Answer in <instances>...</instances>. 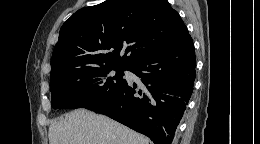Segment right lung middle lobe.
Here are the masks:
<instances>
[{
  "mask_svg": "<svg viewBox=\"0 0 260 144\" xmlns=\"http://www.w3.org/2000/svg\"><path fill=\"white\" fill-rule=\"evenodd\" d=\"M116 71L111 76V71ZM127 67L102 65L62 72L50 77L51 106L54 109L81 108L108 97L124 83Z\"/></svg>",
  "mask_w": 260,
  "mask_h": 144,
  "instance_id": "dd1d6c3e",
  "label": "right lung middle lobe"
}]
</instances>
